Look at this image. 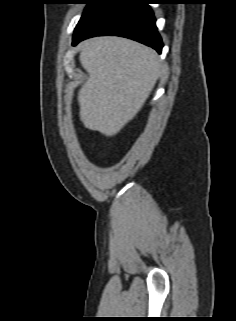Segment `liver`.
<instances>
[{"mask_svg": "<svg viewBox=\"0 0 236 321\" xmlns=\"http://www.w3.org/2000/svg\"><path fill=\"white\" fill-rule=\"evenodd\" d=\"M79 60L89 75L78 92L80 120L90 130L114 136L149 97L160 60L153 49L115 36L83 42Z\"/></svg>", "mask_w": 236, "mask_h": 321, "instance_id": "6515ba94", "label": "liver"}]
</instances>
